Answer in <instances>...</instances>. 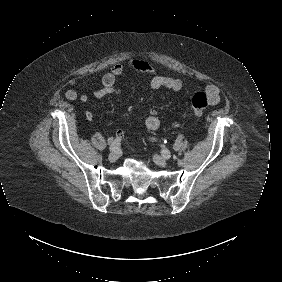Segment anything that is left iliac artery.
I'll use <instances>...</instances> for the list:
<instances>
[{
  "label": "left iliac artery",
  "instance_id": "obj_1",
  "mask_svg": "<svg viewBox=\"0 0 282 282\" xmlns=\"http://www.w3.org/2000/svg\"><path fill=\"white\" fill-rule=\"evenodd\" d=\"M164 158L169 159L171 157L170 151L167 148H163L161 151Z\"/></svg>",
  "mask_w": 282,
  "mask_h": 282
}]
</instances>
